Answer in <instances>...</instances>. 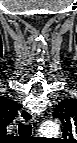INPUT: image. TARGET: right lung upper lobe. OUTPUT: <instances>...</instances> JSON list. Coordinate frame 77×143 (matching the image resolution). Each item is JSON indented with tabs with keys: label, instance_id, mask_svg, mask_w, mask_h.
Returning <instances> with one entry per match:
<instances>
[{
	"label": "right lung upper lobe",
	"instance_id": "obj_1",
	"mask_svg": "<svg viewBox=\"0 0 77 143\" xmlns=\"http://www.w3.org/2000/svg\"><path fill=\"white\" fill-rule=\"evenodd\" d=\"M21 105L5 97H0V127L5 130L6 126L13 121Z\"/></svg>",
	"mask_w": 77,
	"mask_h": 143
}]
</instances>
